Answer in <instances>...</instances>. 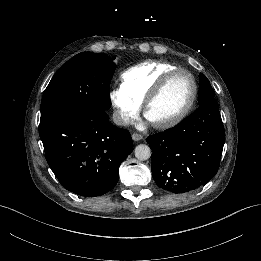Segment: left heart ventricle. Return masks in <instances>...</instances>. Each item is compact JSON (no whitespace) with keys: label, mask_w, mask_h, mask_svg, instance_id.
<instances>
[{"label":"left heart ventricle","mask_w":261,"mask_h":261,"mask_svg":"<svg viewBox=\"0 0 261 261\" xmlns=\"http://www.w3.org/2000/svg\"><path fill=\"white\" fill-rule=\"evenodd\" d=\"M192 95V84L184 73L175 74L159 98L151 105L148 117L152 121H163L180 113Z\"/></svg>","instance_id":"1"}]
</instances>
